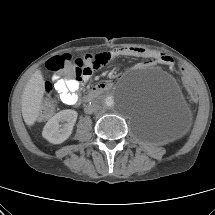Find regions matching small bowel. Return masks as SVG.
<instances>
[{"mask_svg": "<svg viewBox=\"0 0 215 215\" xmlns=\"http://www.w3.org/2000/svg\"><path fill=\"white\" fill-rule=\"evenodd\" d=\"M119 57H136L144 59V62L138 64L150 66L156 64L170 65L171 58L154 50L141 47H120L109 51L99 52L97 54H87L80 59V76L72 75L63 78L54 77L55 89L59 99L66 105H75L79 101V91L89 82L94 72L102 69L110 62Z\"/></svg>", "mask_w": 215, "mask_h": 215, "instance_id": "c3829d8e", "label": "small bowel"}]
</instances>
